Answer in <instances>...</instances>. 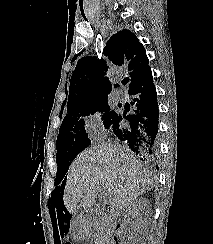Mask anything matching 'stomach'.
I'll return each instance as SVG.
<instances>
[{"mask_svg":"<svg viewBox=\"0 0 213 244\" xmlns=\"http://www.w3.org/2000/svg\"><path fill=\"white\" fill-rule=\"evenodd\" d=\"M71 234L77 239H83L86 236V229L83 221H74Z\"/></svg>","mask_w":213,"mask_h":244,"instance_id":"1","label":"stomach"}]
</instances>
